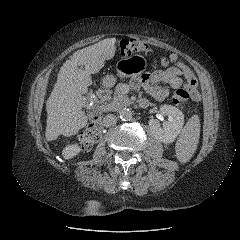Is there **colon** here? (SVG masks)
<instances>
[{
    "label": "colon",
    "instance_id": "obj_1",
    "mask_svg": "<svg viewBox=\"0 0 240 240\" xmlns=\"http://www.w3.org/2000/svg\"><path fill=\"white\" fill-rule=\"evenodd\" d=\"M149 49V46L143 40L138 38H124L119 42V50L123 55H130L136 52H144ZM193 99V95L184 89L175 91L172 101L176 105H188ZM101 131L100 114L94 112L91 117V123L88 128L82 132L79 137V144L83 150L90 149L99 139Z\"/></svg>",
    "mask_w": 240,
    "mask_h": 240
}]
</instances>
